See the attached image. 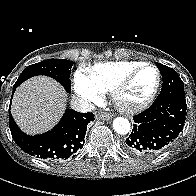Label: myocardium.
I'll use <instances>...</instances> for the list:
<instances>
[{"instance_id":"obj_1","label":"myocardium","mask_w":196,"mask_h":196,"mask_svg":"<svg viewBox=\"0 0 196 196\" xmlns=\"http://www.w3.org/2000/svg\"><path fill=\"white\" fill-rule=\"evenodd\" d=\"M145 68H151L155 70L157 73V80L154 88L152 89L151 93L141 102L138 103H126L122 99V95L124 91L129 87L133 79ZM162 82V75L159 70V68L151 63H143L139 65L138 67L134 68L130 72H128L113 88L111 91L112 100L115 103V105L122 111L128 112V113H134L139 112L145 108H147L155 99L159 88L161 86Z\"/></svg>"}]
</instances>
